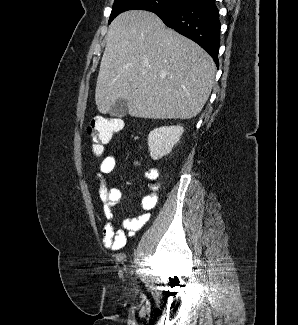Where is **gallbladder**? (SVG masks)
<instances>
[{"label":"gallbladder","instance_id":"obj_1","mask_svg":"<svg viewBox=\"0 0 298 325\" xmlns=\"http://www.w3.org/2000/svg\"><path fill=\"white\" fill-rule=\"evenodd\" d=\"M111 116H117V118H122L128 114L127 100L125 98H118L115 104L111 106L109 110Z\"/></svg>","mask_w":298,"mask_h":325}]
</instances>
